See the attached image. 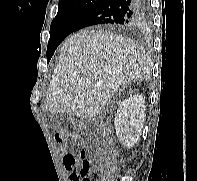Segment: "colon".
I'll return each instance as SVG.
<instances>
[{
    "label": "colon",
    "instance_id": "colon-1",
    "mask_svg": "<svg viewBox=\"0 0 197 181\" xmlns=\"http://www.w3.org/2000/svg\"><path fill=\"white\" fill-rule=\"evenodd\" d=\"M88 136H97L95 126L85 128ZM57 139H64L62 132L56 134ZM82 169L78 181H112L117 170V161L112 151H101L90 154L83 151L80 155Z\"/></svg>",
    "mask_w": 197,
    "mask_h": 181
}]
</instances>
